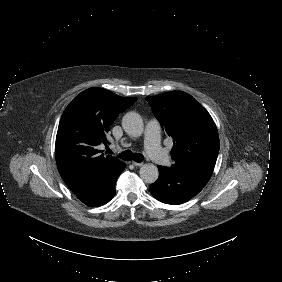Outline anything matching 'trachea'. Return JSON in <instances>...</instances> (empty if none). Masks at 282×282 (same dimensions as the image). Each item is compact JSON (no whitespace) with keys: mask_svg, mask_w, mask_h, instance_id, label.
Listing matches in <instances>:
<instances>
[{"mask_svg":"<svg viewBox=\"0 0 282 282\" xmlns=\"http://www.w3.org/2000/svg\"><path fill=\"white\" fill-rule=\"evenodd\" d=\"M111 151L109 150L108 153H110ZM116 155L117 157L123 159V160H126V161H131V160H134L138 163H141L142 161H144V156L140 153H133L132 151L130 150H125V151H122L118 154H114Z\"/></svg>","mask_w":282,"mask_h":282,"instance_id":"trachea-1","label":"trachea"}]
</instances>
